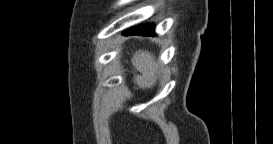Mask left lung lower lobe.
I'll use <instances>...</instances> for the list:
<instances>
[{"label": "left lung lower lobe", "mask_w": 273, "mask_h": 144, "mask_svg": "<svg viewBox=\"0 0 273 144\" xmlns=\"http://www.w3.org/2000/svg\"><path fill=\"white\" fill-rule=\"evenodd\" d=\"M124 35H151L154 36V27L152 25L142 24L128 29Z\"/></svg>", "instance_id": "1"}]
</instances>
